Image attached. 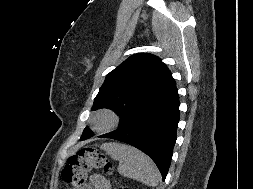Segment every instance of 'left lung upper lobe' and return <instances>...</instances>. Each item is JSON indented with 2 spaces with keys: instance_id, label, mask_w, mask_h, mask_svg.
<instances>
[{
  "instance_id": "5c2ea615",
  "label": "left lung upper lobe",
  "mask_w": 253,
  "mask_h": 189,
  "mask_svg": "<svg viewBox=\"0 0 253 189\" xmlns=\"http://www.w3.org/2000/svg\"><path fill=\"white\" fill-rule=\"evenodd\" d=\"M168 67L148 53L130 56L105 78L92 110L108 108L121 116L119 126L175 86ZM92 133L85 128L83 134Z\"/></svg>"
}]
</instances>
